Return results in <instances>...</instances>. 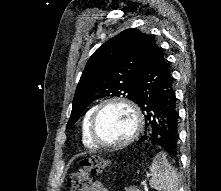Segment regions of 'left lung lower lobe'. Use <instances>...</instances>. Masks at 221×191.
Wrapping results in <instances>:
<instances>
[{
    "instance_id": "obj_1",
    "label": "left lung lower lobe",
    "mask_w": 221,
    "mask_h": 191,
    "mask_svg": "<svg viewBox=\"0 0 221 191\" xmlns=\"http://www.w3.org/2000/svg\"><path fill=\"white\" fill-rule=\"evenodd\" d=\"M176 100L167 61L151 39L136 85V103L144 111L146 128L139 142L148 141L174 159L179 139Z\"/></svg>"
}]
</instances>
